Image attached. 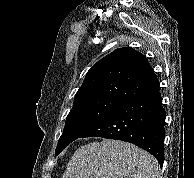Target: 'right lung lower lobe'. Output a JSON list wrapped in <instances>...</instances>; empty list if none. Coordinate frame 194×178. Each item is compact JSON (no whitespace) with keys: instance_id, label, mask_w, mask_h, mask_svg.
<instances>
[{"instance_id":"obj_1","label":"right lung lower lobe","mask_w":194,"mask_h":178,"mask_svg":"<svg viewBox=\"0 0 194 178\" xmlns=\"http://www.w3.org/2000/svg\"><path fill=\"white\" fill-rule=\"evenodd\" d=\"M165 109L159 89L124 102L79 138L103 137L135 144L164 162Z\"/></svg>"}]
</instances>
